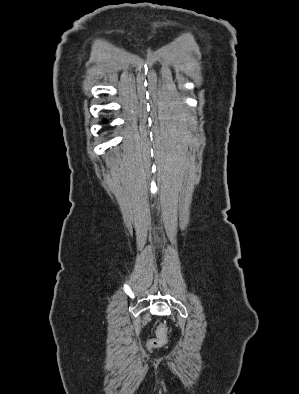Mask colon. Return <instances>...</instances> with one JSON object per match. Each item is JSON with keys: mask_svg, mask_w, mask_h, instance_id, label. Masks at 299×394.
<instances>
[{"mask_svg": "<svg viewBox=\"0 0 299 394\" xmlns=\"http://www.w3.org/2000/svg\"><path fill=\"white\" fill-rule=\"evenodd\" d=\"M168 342V329L164 324H160L157 328L156 337L147 342V348L152 350L163 347Z\"/></svg>", "mask_w": 299, "mask_h": 394, "instance_id": "colon-1", "label": "colon"}]
</instances>
